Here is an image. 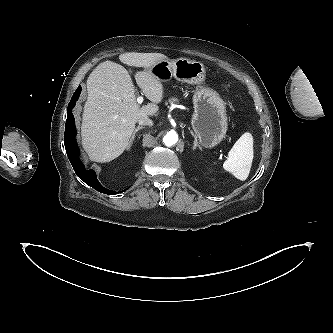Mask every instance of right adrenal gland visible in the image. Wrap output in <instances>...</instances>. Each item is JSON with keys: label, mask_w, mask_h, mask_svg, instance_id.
<instances>
[{"label": "right adrenal gland", "mask_w": 333, "mask_h": 333, "mask_svg": "<svg viewBox=\"0 0 333 333\" xmlns=\"http://www.w3.org/2000/svg\"><path fill=\"white\" fill-rule=\"evenodd\" d=\"M143 128H144V127H142V126H138V127L135 128V130H134V132H133V134H132V137H131V139H130V142H129V144H128L127 149H129V148L132 146L133 141H134L135 136H136V133H137L139 130L143 129Z\"/></svg>", "instance_id": "obj_1"}]
</instances>
